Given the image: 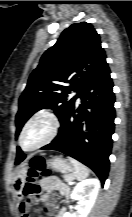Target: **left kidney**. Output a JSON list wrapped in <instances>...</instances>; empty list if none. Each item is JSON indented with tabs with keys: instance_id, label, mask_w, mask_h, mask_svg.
<instances>
[{
	"instance_id": "1",
	"label": "left kidney",
	"mask_w": 132,
	"mask_h": 217,
	"mask_svg": "<svg viewBox=\"0 0 132 217\" xmlns=\"http://www.w3.org/2000/svg\"><path fill=\"white\" fill-rule=\"evenodd\" d=\"M100 189V182L96 178H90L78 183L72 193L71 199L78 201L76 211L66 212L62 217H87L93 207Z\"/></svg>"
}]
</instances>
